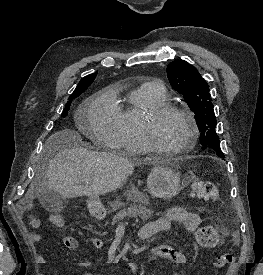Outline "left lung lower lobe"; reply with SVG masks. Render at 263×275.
Wrapping results in <instances>:
<instances>
[{"label": "left lung lower lobe", "mask_w": 263, "mask_h": 275, "mask_svg": "<svg viewBox=\"0 0 263 275\" xmlns=\"http://www.w3.org/2000/svg\"><path fill=\"white\" fill-rule=\"evenodd\" d=\"M215 154V153H214ZM218 157H220L221 159H224V155L223 154H220V155H218V154H216Z\"/></svg>", "instance_id": "obj_1"}]
</instances>
